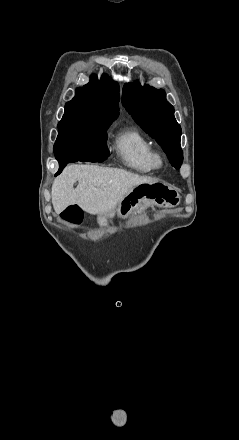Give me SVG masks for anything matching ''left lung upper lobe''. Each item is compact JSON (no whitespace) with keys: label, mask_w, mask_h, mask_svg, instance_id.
<instances>
[{"label":"left lung upper lobe","mask_w":239,"mask_h":440,"mask_svg":"<svg viewBox=\"0 0 239 440\" xmlns=\"http://www.w3.org/2000/svg\"><path fill=\"white\" fill-rule=\"evenodd\" d=\"M122 103L142 129L161 145L172 166L180 168L181 127L174 117L173 106L166 101L165 91L128 83L123 86Z\"/></svg>","instance_id":"1"}]
</instances>
